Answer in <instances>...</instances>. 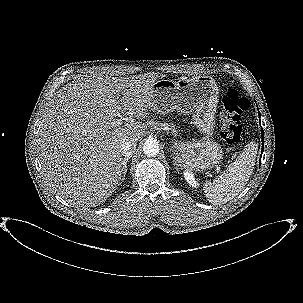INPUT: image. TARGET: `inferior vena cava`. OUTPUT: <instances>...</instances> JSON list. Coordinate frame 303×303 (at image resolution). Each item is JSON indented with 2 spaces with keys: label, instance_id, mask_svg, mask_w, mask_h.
<instances>
[{
  "label": "inferior vena cava",
  "instance_id": "inferior-vena-cava-1",
  "mask_svg": "<svg viewBox=\"0 0 303 303\" xmlns=\"http://www.w3.org/2000/svg\"><path fill=\"white\" fill-rule=\"evenodd\" d=\"M120 146L125 157L131 156L136 149V143L128 138H124L120 142Z\"/></svg>",
  "mask_w": 303,
  "mask_h": 303
}]
</instances>
